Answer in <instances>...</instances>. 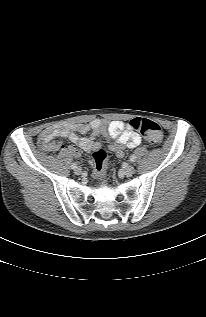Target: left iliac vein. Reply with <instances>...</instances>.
Listing matches in <instances>:
<instances>
[{"instance_id": "4c4485c4", "label": "left iliac vein", "mask_w": 206, "mask_h": 317, "mask_svg": "<svg viewBox=\"0 0 206 317\" xmlns=\"http://www.w3.org/2000/svg\"><path fill=\"white\" fill-rule=\"evenodd\" d=\"M135 172V168L132 165L127 166L126 168L122 169L121 174L124 176H131Z\"/></svg>"}]
</instances>
